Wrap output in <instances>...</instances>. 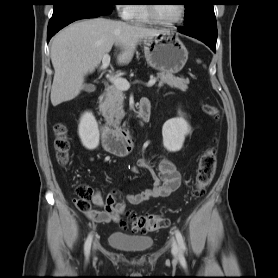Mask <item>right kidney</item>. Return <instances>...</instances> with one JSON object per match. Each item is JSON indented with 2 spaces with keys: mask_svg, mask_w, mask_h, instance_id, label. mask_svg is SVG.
I'll return each instance as SVG.
<instances>
[{
  "mask_svg": "<svg viewBox=\"0 0 278 278\" xmlns=\"http://www.w3.org/2000/svg\"><path fill=\"white\" fill-rule=\"evenodd\" d=\"M78 134L82 145L88 150H94L99 145V129L92 112H85L78 127Z\"/></svg>",
  "mask_w": 278,
  "mask_h": 278,
  "instance_id": "ca27d5eb",
  "label": "right kidney"
}]
</instances>
